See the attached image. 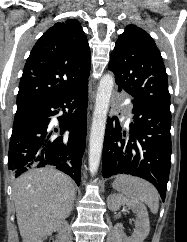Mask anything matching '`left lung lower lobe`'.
<instances>
[{
  "label": "left lung lower lobe",
  "instance_id": "obj_1",
  "mask_svg": "<svg viewBox=\"0 0 187 242\" xmlns=\"http://www.w3.org/2000/svg\"><path fill=\"white\" fill-rule=\"evenodd\" d=\"M133 120L125 131L117 117L107 119L102 175L119 173L151 182L165 200L171 160V113L135 99Z\"/></svg>",
  "mask_w": 187,
  "mask_h": 242
}]
</instances>
